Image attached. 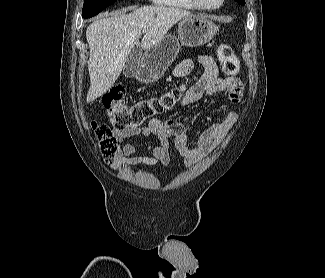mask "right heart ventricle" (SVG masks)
Returning <instances> with one entry per match:
<instances>
[{
	"label": "right heart ventricle",
	"mask_w": 325,
	"mask_h": 278,
	"mask_svg": "<svg viewBox=\"0 0 325 278\" xmlns=\"http://www.w3.org/2000/svg\"><path fill=\"white\" fill-rule=\"evenodd\" d=\"M155 4L170 8L183 10H197L198 8L192 0H152Z\"/></svg>",
	"instance_id": "right-heart-ventricle-1"
}]
</instances>
